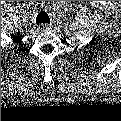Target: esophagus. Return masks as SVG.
<instances>
[{"label": "esophagus", "mask_w": 121, "mask_h": 121, "mask_svg": "<svg viewBox=\"0 0 121 121\" xmlns=\"http://www.w3.org/2000/svg\"><path fill=\"white\" fill-rule=\"evenodd\" d=\"M47 29H49V26L47 25V24H42L41 25V30H47Z\"/></svg>", "instance_id": "obj_1"}]
</instances>
